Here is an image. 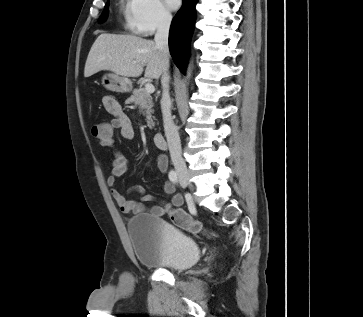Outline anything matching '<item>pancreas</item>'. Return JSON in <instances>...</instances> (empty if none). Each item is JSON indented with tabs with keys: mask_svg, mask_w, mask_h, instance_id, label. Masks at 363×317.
Returning <instances> with one entry per match:
<instances>
[{
	"mask_svg": "<svg viewBox=\"0 0 363 317\" xmlns=\"http://www.w3.org/2000/svg\"><path fill=\"white\" fill-rule=\"evenodd\" d=\"M128 102L134 103L144 110L143 114L146 116L147 125L152 129L155 126V123L153 121L154 117L152 116L154 104L151 95L148 94L144 88L134 89Z\"/></svg>",
	"mask_w": 363,
	"mask_h": 317,
	"instance_id": "1",
	"label": "pancreas"
}]
</instances>
